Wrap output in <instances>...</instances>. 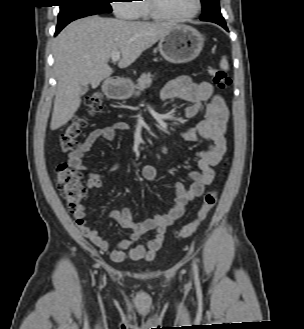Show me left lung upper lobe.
<instances>
[{
    "mask_svg": "<svg viewBox=\"0 0 304 329\" xmlns=\"http://www.w3.org/2000/svg\"><path fill=\"white\" fill-rule=\"evenodd\" d=\"M219 0H201L202 2V8L203 10L207 9L210 7V5H212L213 3L218 2Z\"/></svg>",
    "mask_w": 304,
    "mask_h": 329,
    "instance_id": "5c2ea615",
    "label": "left lung upper lobe"
}]
</instances>
